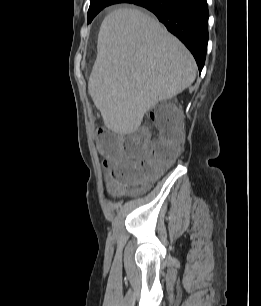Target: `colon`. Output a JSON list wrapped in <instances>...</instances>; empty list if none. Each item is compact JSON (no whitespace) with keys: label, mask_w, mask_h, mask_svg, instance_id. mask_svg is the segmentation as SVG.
<instances>
[{"label":"colon","mask_w":261,"mask_h":306,"mask_svg":"<svg viewBox=\"0 0 261 306\" xmlns=\"http://www.w3.org/2000/svg\"><path fill=\"white\" fill-rule=\"evenodd\" d=\"M157 137L151 140L148 128L119 140L114 134H101L98 147L112 161L118 162L108 178L110 187L145 185L156 179L161 171L177 157L183 139V119L171 106L159 105L152 111ZM130 162H136L134 166Z\"/></svg>","instance_id":"1"}]
</instances>
